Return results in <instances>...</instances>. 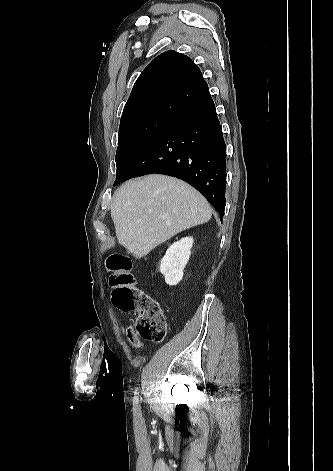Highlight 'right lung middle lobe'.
<instances>
[{
    "label": "right lung middle lobe",
    "mask_w": 333,
    "mask_h": 471,
    "mask_svg": "<svg viewBox=\"0 0 333 471\" xmlns=\"http://www.w3.org/2000/svg\"><path fill=\"white\" fill-rule=\"evenodd\" d=\"M174 119L175 117L161 114H138L121 118L116 152V180Z\"/></svg>",
    "instance_id": "1"
}]
</instances>
